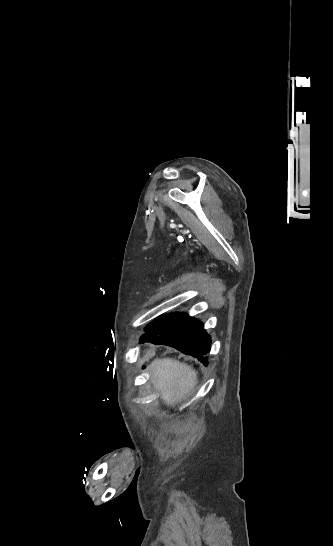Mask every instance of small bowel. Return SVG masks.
Wrapping results in <instances>:
<instances>
[{
  "instance_id": "obj_1",
  "label": "small bowel",
  "mask_w": 333,
  "mask_h": 546,
  "mask_svg": "<svg viewBox=\"0 0 333 546\" xmlns=\"http://www.w3.org/2000/svg\"><path fill=\"white\" fill-rule=\"evenodd\" d=\"M144 353L145 354H153L154 353V348L153 347H145L144 348ZM142 358L144 360H148L150 357L148 355H144Z\"/></svg>"
}]
</instances>
